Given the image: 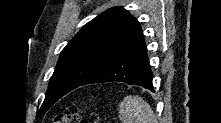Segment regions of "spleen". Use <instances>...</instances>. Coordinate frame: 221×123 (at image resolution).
Masks as SVG:
<instances>
[{
    "instance_id": "spleen-1",
    "label": "spleen",
    "mask_w": 221,
    "mask_h": 123,
    "mask_svg": "<svg viewBox=\"0 0 221 123\" xmlns=\"http://www.w3.org/2000/svg\"><path fill=\"white\" fill-rule=\"evenodd\" d=\"M119 114L123 123H156L152 108L139 96H125Z\"/></svg>"
}]
</instances>
